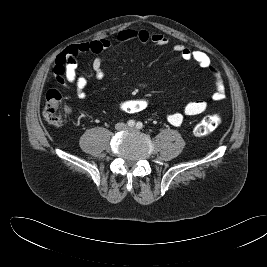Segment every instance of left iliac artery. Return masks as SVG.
<instances>
[{
    "label": "left iliac artery",
    "mask_w": 267,
    "mask_h": 267,
    "mask_svg": "<svg viewBox=\"0 0 267 267\" xmlns=\"http://www.w3.org/2000/svg\"><path fill=\"white\" fill-rule=\"evenodd\" d=\"M136 128L137 129H142L143 128V124L141 122H137Z\"/></svg>",
    "instance_id": "obj_1"
}]
</instances>
